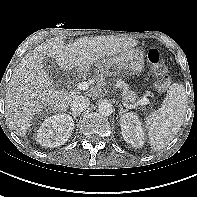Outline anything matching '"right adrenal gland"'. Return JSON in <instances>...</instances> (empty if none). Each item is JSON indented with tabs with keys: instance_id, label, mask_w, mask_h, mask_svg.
<instances>
[{
	"instance_id": "right-adrenal-gland-1",
	"label": "right adrenal gland",
	"mask_w": 197,
	"mask_h": 197,
	"mask_svg": "<svg viewBox=\"0 0 197 197\" xmlns=\"http://www.w3.org/2000/svg\"><path fill=\"white\" fill-rule=\"evenodd\" d=\"M69 114L72 115L74 119H76V117L79 116L78 114H74V113H71V112H69Z\"/></svg>"
}]
</instances>
